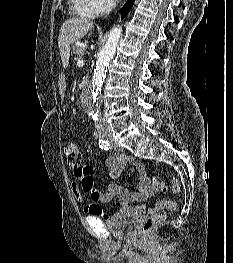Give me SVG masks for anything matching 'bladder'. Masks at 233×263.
Segmentation results:
<instances>
[{
  "label": "bladder",
  "instance_id": "31cf9c89",
  "mask_svg": "<svg viewBox=\"0 0 233 263\" xmlns=\"http://www.w3.org/2000/svg\"><path fill=\"white\" fill-rule=\"evenodd\" d=\"M139 215L134 211L120 209L106 221L108 230L116 237L131 238L138 226Z\"/></svg>",
  "mask_w": 233,
  "mask_h": 263
}]
</instances>
